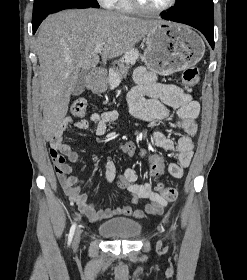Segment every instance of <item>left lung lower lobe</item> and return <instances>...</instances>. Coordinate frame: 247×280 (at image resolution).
Instances as JSON below:
<instances>
[{
  "mask_svg": "<svg viewBox=\"0 0 247 280\" xmlns=\"http://www.w3.org/2000/svg\"><path fill=\"white\" fill-rule=\"evenodd\" d=\"M163 19L184 23L198 29L208 40L212 48H214V16L213 12H189L174 13L167 12L162 16Z\"/></svg>",
  "mask_w": 247,
  "mask_h": 280,
  "instance_id": "obj_1",
  "label": "left lung lower lobe"
}]
</instances>
